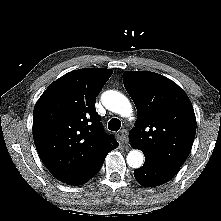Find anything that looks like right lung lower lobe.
<instances>
[{"label":"right lung lower lobe","instance_id":"1","mask_svg":"<svg viewBox=\"0 0 221 221\" xmlns=\"http://www.w3.org/2000/svg\"><path fill=\"white\" fill-rule=\"evenodd\" d=\"M115 149V148H114ZM113 150V149H112ZM111 151V150H110ZM104 153L101 155L91 166H89L84 172H82L79 176L74 178L72 181L68 182L69 185H81L87 182L90 178L96 175L104 163L105 157L110 152Z\"/></svg>","mask_w":221,"mask_h":221}]
</instances>
